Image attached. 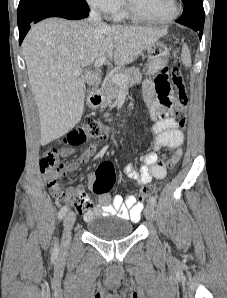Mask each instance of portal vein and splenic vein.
<instances>
[{"label": "portal vein and splenic vein", "instance_id": "18ae733b", "mask_svg": "<svg viewBox=\"0 0 227 298\" xmlns=\"http://www.w3.org/2000/svg\"><path fill=\"white\" fill-rule=\"evenodd\" d=\"M106 61H107V57H101L94 62V67L98 68V67L102 66ZM82 72H83V69H77L76 71H74L73 74H74V76H80ZM112 80L117 84H125L126 83L125 77L122 75H118V74L113 75Z\"/></svg>", "mask_w": 227, "mask_h": 298}]
</instances>
